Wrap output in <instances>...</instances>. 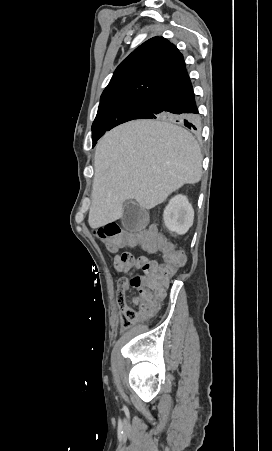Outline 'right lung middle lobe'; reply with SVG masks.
<instances>
[{"instance_id":"right-lung-middle-lobe-1","label":"right lung middle lobe","mask_w":272,"mask_h":451,"mask_svg":"<svg viewBox=\"0 0 272 451\" xmlns=\"http://www.w3.org/2000/svg\"><path fill=\"white\" fill-rule=\"evenodd\" d=\"M149 101L150 97H131L100 104L92 125L93 145L106 131L136 119L147 109Z\"/></svg>"}]
</instances>
